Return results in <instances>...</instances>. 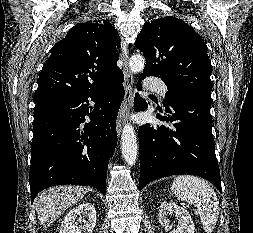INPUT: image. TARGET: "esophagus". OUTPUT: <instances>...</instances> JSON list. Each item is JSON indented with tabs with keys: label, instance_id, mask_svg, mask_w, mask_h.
I'll list each match as a JSON object with an SVG mask.
<instances>
[{
	"label": "esophagus",
	"instance_id": "esophagus-1",
	"mask_svg": "<svg viewBox=\"0 0 253 233\" xmlns=\"http://www.w3.org/2000/svg\"><path fill=\"white\" fill-rule=\"evenodd\" d=\"M122 60H123V74H124V90L125 95L122 102V105L120 107L118 117H117V123H116V130L117 135L120 136L122 126L125 122L126 115L129 111V109L133 105V75L129 70V51H128V44L126 41L122 42Z\"/></svg>",
	"mask_w": 253,
	"mask_h": 233
}]
</instances>
